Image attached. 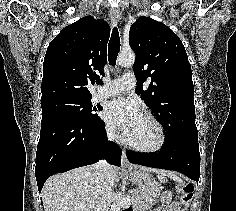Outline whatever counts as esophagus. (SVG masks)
Masks as SVG:
<instances>
[{"label":"esophagus","instance_id":"34e87169","mask_svg":"<svg viewBox=\"0 0 236 211\" xmlns=\"http://www.w3.org/2000/svg\"><path fill=\"white\" fill-rule=\"evenodd\" d=\"M109 16L111 18V20L113 21V23L117 24L118 23V12L114 9H111L109 11ZM121 166L123 168H127V167H132V164L129 163L127 156H126V152L125 150H122V159H121Z\"/></svg>","mask_w":236,"mask_h":211}]
</instances>
